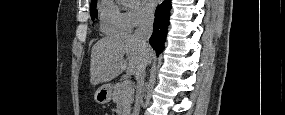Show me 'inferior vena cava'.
I'll use <instances>...</instances> for the list:
<instances>
[{
	"label": "inferior vena cava",
	"mask_w": 285,
	"mask_h": 115,
	"mask_svg": "<svg viewBox=\"0 0 285 115\" xmlns=\"http://www.w3.org/2000/svg\"><path fill=\"white\" fill-rule=\"evenodd\" d=\"M153 14H145L141 17L138 27L136 28L133 36L140 43L143 52L149 47L148 40L153 31ZM146 62L143 61L135 73L137 81V90H134V101L139 104L140 107L144 106L143 98L145 95L144 79H145ZM141 109H136L133 115H140Z\"/></svg>",
	"instance_id": "inferior-vena-cava-1"
}]
</instances>
